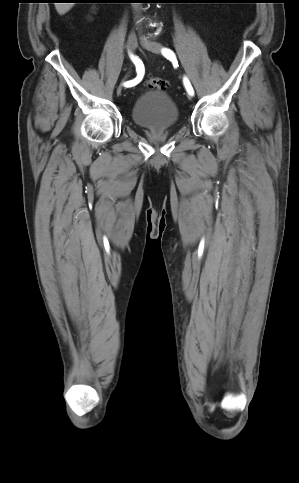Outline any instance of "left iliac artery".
<instances>
[{"mask_svg":"<svg viewBox=\"0 0 299 483\" xmlns=\"http://www.w3.org/2000/svg\"><path fill=\"white\" fill-rule=\"evenodd\" d=\"M162 54L167 58V59H170V60H175L176 57H175V54L172 50L170 49H167V48H163L162 49ZM184 85H185V88L187 90V92L190 94V95H193L194 94V90L191 86V83L189 82L188 78L187 77H184Z\"/></svg>","mask_w":299,"mask_h":483,"instance_id":"left-iliac-artery-1","label":"left iliac artery"}]
</instances>
